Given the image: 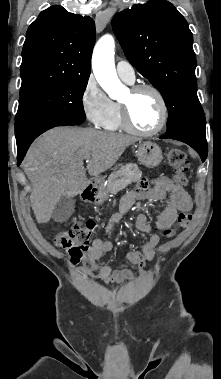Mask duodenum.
<instances>
[{
  "mask_svg": "<svg viewBox=\"0 0 221 379\" xmlns=\"http://www.w3.org/2000/svg\"><path fill=\"white\" fill-rule=\"evenodd\" d=\"M97 190H98V181L90 180L85 188L84 198L88 202H91V203L96 202L98 200Z\"/></svg>",
  "mask_w": 221,
  "mask_h": 379,
  "instance_id": "obj_1",
  "label": "duodenum"
}]
</instances>
